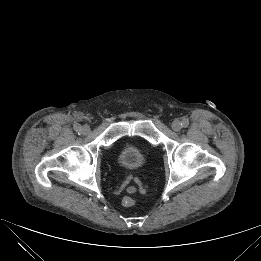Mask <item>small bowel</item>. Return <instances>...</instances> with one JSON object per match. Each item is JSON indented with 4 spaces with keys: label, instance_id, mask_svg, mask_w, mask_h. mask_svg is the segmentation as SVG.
<instances>
[{
    "label": "small bowel",
    "instance_id": "c3829d8e",
    "mask_svg": "<svg viewBox=\"0 0 261 261\" xmlns=\"http://www.w3.org/2000/svg\"><path fill=\"white\" fill-rule=\"evenodd\" d=\"M127 191L130 192V193H132V192L135 191V188H134L133 186H129V187L127 188Z\"/></svg>",
    "mask_w": 261,
    "mask_h": 261
}]
</instances>
